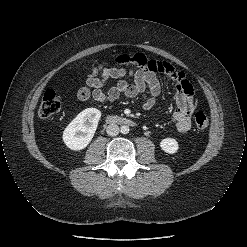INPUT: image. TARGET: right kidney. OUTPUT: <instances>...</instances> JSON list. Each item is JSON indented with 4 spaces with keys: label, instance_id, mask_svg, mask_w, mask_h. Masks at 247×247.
<instances>
[{
    "label": "right kidney",
    "instance_id": "obj_1",
    "mask_svg": "<svg viewBox=\"0 0 247 247\" xmlns=\"http://www.w3.org/2000/svg\"><path fill=\"white\" fill-rule=\"evenodd\" d=\"M100 117L101 111L96 108H87L80 112L63 132L65 145L74 151L87 147L95 134Z\"/></svg>",
    "mask_w": 247,
    "mask_h": 247
}]
</instances>
